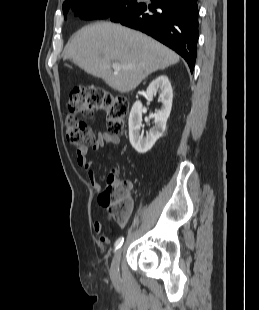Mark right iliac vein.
Returning a JSON list of instances; mask_svg holds the SVG:
<instances>
[{
  "label": "right iliac vein",
  "mask_w": 259,
  "mask_h": 310,
  "mask_svg": "<svg viewBox=\"0 0 259 310\" xmlns=\"http://www.w3.org/2000/svg\"><path fill=\"white\" fill-rule=\"evenodd\" d=\"M122 248H119L113 257L111 268H110V276L112 279L116 280L119 277V263L121 259Z\"/></svg>",
  "instance_id": "1"
}]
</instances>
